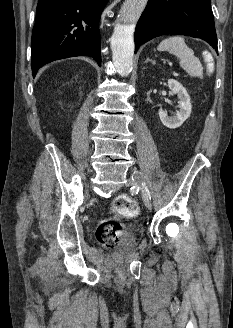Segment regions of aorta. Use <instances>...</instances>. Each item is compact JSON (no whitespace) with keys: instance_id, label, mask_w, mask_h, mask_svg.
<instances>
[{"instance_id":"obj_1","label":"aorta","mask_w":233,"mask_h":328,"mask_svg":"<svg viewBox=\"0 0 233 328\" xmlns=\"http://www.w3.org/2000/svg\"><path fill=\"white\" fill-rule=\"evenodd\" d=\"M148 0H125L111 38L112 59L117 72L127 76L132 71L134 55V26Z\"/></svg>"}]
</instances>
